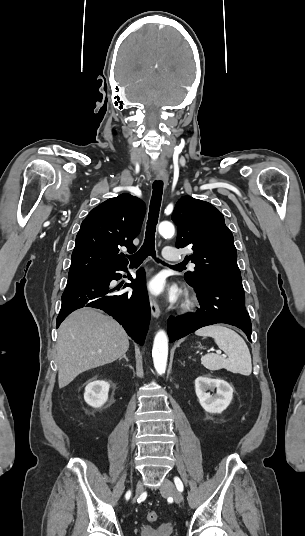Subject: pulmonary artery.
Instances as JSON below:
<instances>
[{
	"label": "pulmonary artery",
	"mask_w": 305,
	"mask_h": 536,
	"mask_svg": "<svg viewBox=\"0 0 305 536\" xmlns=\"http://www.w3.org/2000/svg\"><path fill=\"white\" fill-rule=\"evenodd\" d=\"M162 254H161V257L162 259L166 260L168 263L170 264H174L177 262L178 260V257H177V248L175 245L173 244H170L168 246H164L162 248ZM192 267L194 266L193 264H190Z\"/></svg>",
	"instance_id": "1"
}]
</instances>
